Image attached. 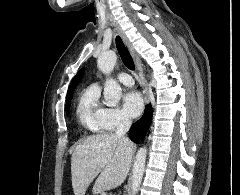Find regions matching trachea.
<instances>
[{
    "label": "trachea",
    "instance_id": "1",
    "mask_svg": "<svg viewBox=\"0 0 240 195\" xmlns=\"http://www.w3.org/2000/svg\"><path fill=\"white\" fill-rule=\"evenodd\" d=\"M116 48L118 50L119 55L121 56L124 65L127 68H129V70L135 71V64L133 58L128 52L127 48L125 47L120 37H116Z\"/></svg>",
    "mask_w": 240,
    "mask_h": 195
}]
</instances>
